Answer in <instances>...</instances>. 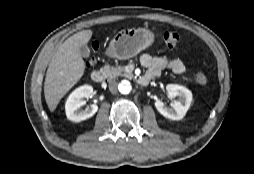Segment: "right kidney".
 I'll return each instance as SVG.
<instances>
[{
    "mask_svg": "<svg viewBox=\"0 0 254 174\" xmlns=\"http://www.w3.org/2000/svg\"><path fill=\"white\" fill-rule=\"evenodd\" d=\"M93 93L92 86L83 85L75 89L68 97L65 104L66 116L73 122H80L92 117L98 110L96 104H92L90 108L82 110L81 107L86 103L84 98L89 97Z\"/></svg>",
    "mask_w": 254,
    "mask_h": 174,
    "instance_id": "ca27d5eb",
    "label": "right kidney"
}]
</instances>
